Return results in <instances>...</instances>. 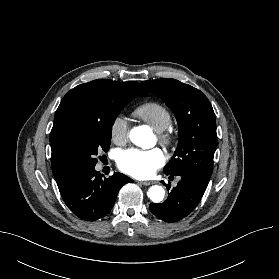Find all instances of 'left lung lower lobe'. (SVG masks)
<instances>
[{
	"mask_svg": "<svg viewBox=\"0 0 279 279\" xmlns=\"http://www.w3.org/2000/svg\"><path fill=\"white\" fill-rule=\"evenodd\" d=\"M178 176L181 180L168 194L165 202L149 205L150 211L166 222H177L188 216L198 205L208 185V182L190 174ZM167 187L170 189L169 184Z\"/></svg>",
	"mask_w": 279,
	"mask_h": 279,
	"instance_id": "left-lung-lower-lobe-1",
	"label": "left lung lower lobe"
}]
</instances>
